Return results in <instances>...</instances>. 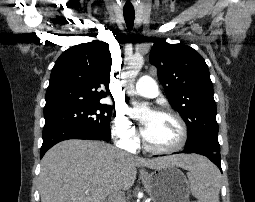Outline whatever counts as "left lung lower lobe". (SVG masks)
<instances>
[{
  "label": "left lung lower lobe",
  "instance_id": "1",
  "mask_svg": "<svg viewBox=\"0 0 255 202\" xmlns=\"http://www.w3.org/2000/svg\"><path fill=\"white\" fill-rule=\"evenodd\" d=\"M184 153H196L200 155H204L209 158L214 164L218 166L221 170V158H220V149H209V150H186L184 149ZM179 153V152H177Z\"/></svg>",
  "mask_w": 255,
  "mask_h": 202
}]
</instances>
